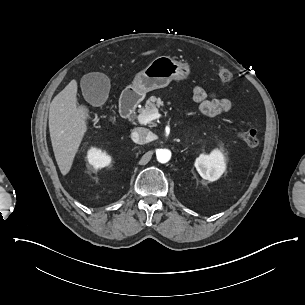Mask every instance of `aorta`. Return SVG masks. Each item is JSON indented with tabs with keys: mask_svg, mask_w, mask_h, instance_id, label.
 Returning <instances> with one entry per match:
<instances>
[{
	"mask_svg": "<svg viewBox=\"0 0 305 305\" xmlns=\"http://www.w3.org/2000/svg\"><path fill=\"white\" fill-rule=\"evenodd\" d=\"M158 162L167 163L171 159V151L169 149H159L156 152Z\"/></svg>",
	"mask_w": 305,
	"mask_h": 305,
	"instance_id": "obj_1",
	"label": "aorta"
}]
</instances>
